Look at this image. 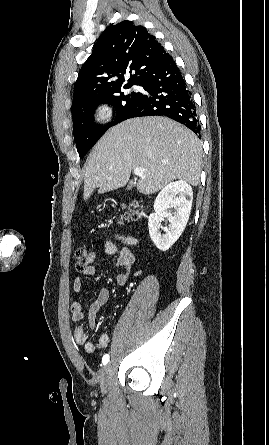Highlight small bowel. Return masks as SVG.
<instances>
[{"instance_id":"small-bowel-1","label":"small bowel","mask_w":269,"mask_h":445,"mask_svg":"<svg viewBox=\"0 0 269 445\" xmlns=\"http://www.w3.org/2000/svg\"><path fill=\"white\" fill-rule=\"evenodd\" d=\"M122 246L118 248L114 243L108 241L105 243V252L108 255H117L116 266L123 271L120 272L116 279L119 285H125L129 279L130 273L135 265V255L131 250V246L135 244V240L128 237L121 238ZM98 272V268L95 265L87 267L82 273L84 276H93ZM82 278L77 276L73 280V291L80 293L82 290ZM111 297V293L107 289H102L96 300L90 305L88 312V323L91 328L95 326L96 315L100 308L104 306ZM71 313L74 322H80L84 319L83 305L80 301L73 300L71 302ZM74 337L76 342L83 346L85 351L93 353L97 349L105 347L109 342V336L106 333L100 335L97 342L89 341L86 332L81 325H77L74 329Z\"/></svg>"}]
</instances>
